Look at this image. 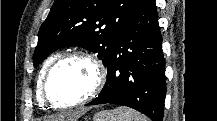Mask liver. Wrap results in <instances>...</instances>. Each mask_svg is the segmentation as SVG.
Masks as SVG:
<instances>
[{
  "label": "liver",
  "instance_id": "1",
  "mask_svg": "<svg viewBox=\"0 0 217 121\" xmlns=\"http://www.w3.org/2000/svg\"><path fill=\"white\" fill-rule=\"evenodd\" d=\"M57 119H58L59 121H64L65 115H61V116H59Z\"/></svg>",
  "mask_w": 217,
  "mask_h": 121
}]
</instances>
